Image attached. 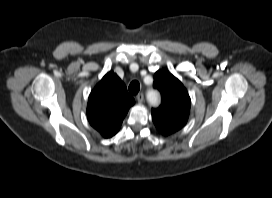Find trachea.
I'll return each instance as SVG.
<instances>
[{"label": "trachea", "instance_id": "obj_1", "mask_svg": "<svg viewBox=\"0 0 272 198\" xmlns=\"http://www.w3.org/2000/svg\"><path fill=\"white\" fill-rule=\"evenodd\" d=\"M140 90V84L138 81H132L129 85V92L132 94V95H136Z\"/></svg>", "mask_w": 272, "mask_h": 198}]
</instances>
